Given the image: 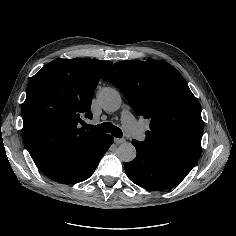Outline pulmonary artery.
Segmentation results:
<instances>
[{"label": "pulmonary artery", "mask_w": 236, "mask_h": 236, "mask_svg": "<svg viewBox=\"0 0 236 236\" xmlns=\"http://www.w3.org/2000/svg\"><path fill=\"white\" fill-rule=\"evenodd\" d=\"M125 127L133 136H139L142 133V128L137 125L136 120L133 117H128L125 120Z\"/></svg>", "instance_id": "e3ab8cb5"}]
</instances>
